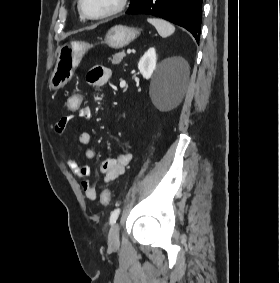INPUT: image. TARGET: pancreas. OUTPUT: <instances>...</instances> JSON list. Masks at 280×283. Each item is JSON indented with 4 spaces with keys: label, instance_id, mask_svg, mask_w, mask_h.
<instances>
[{
    "label": "pancreas",
    "instance_id": "pancreas-1",
    "mask_svg": "<svg viewBox=\"0 0 280 283\" xmlns=\"http://www.w3.org/2000/svg\"><path fill=\"white\" fill-rule=\"evenodd\" d=\"M125 57V52L121 51L119 53L114 54L109 60L111 61L112 64L116 65L119 64L122 59Z\"/></svg>",
    "mask_w": 280,
    "mask_h": 283
}]
</instances>
